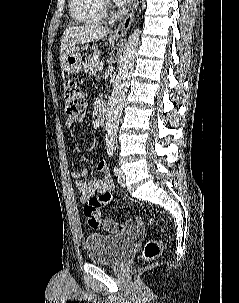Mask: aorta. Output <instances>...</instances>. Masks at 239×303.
I'll use <instances>...</instances> for the list:
<instances>
[{
  "mask_svg": "<svg viewBox=\"0 0 239 303\" xmlns=\"http://www.w3.org/2000/svg\"><path fill=\"white\" fill-rule=\"evenodd\" d=\"M140 30L135 29L128 39V43L119 60L118 74L113 85L109 99L106 123L105 139L114 142L119 126V121L124 108L125 96L130 84L131 74L134 68V60L139 45Z\"/></svg>",
  "mask_w": 239,
  "mask_h": 303,
  "instance_id": "1",
  "label": "aorta"
}]
</instances>
